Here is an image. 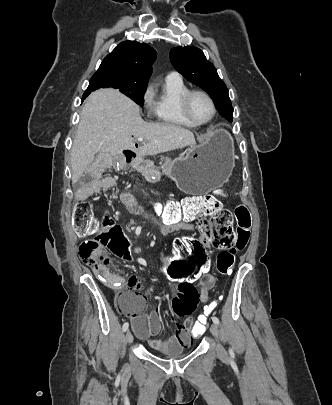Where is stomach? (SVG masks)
Returning a JSON list of instances; mask_svg holds the SVG:
<instances>
[{
	"label": "stomach",
	"mask_w": 332,
	"mask_h": 405,
	"mask_svg": "<svg viewBox=\"0 0 332 405\" xmlns=\"http://www.w3.org/2000/svg\"><path fill=\"white\" fill-rule=\"evenodd\" d=\"M235 166L231 136L223 129L200 146L191 148L185 157L161 158L163 173L187 194H205L218 189L230 177Z\"/></svg>",
	"instance_id": "1"
}]
</instances>
